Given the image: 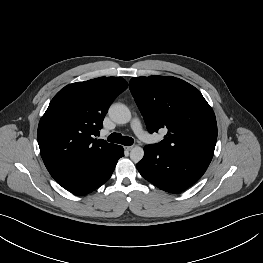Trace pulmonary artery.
<instances>
[{
    "label": "pulmonary artery",
    "mask_w": 263,
    "mask_h": 263,
    "mask_svg": "<svg viewBox=\"0 0 263 263\" xmlns=\"http://www.w3.org/2000/svg\"><path fill=\"white\" fill-rule=\"evenodd\" d=\"M131 129L140 140H144L148 137V133L143 129V126L139 119L135 118L131 122Z\"/></svg>",
    "instance_id": "1"
}]
</instances>
